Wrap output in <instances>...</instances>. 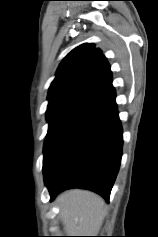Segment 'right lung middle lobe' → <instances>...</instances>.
Here are the masks:
<instances>
[{"instance_id":"1","label":"right lung middle lobe","mask_w":158,"mask_h":237,"mask_svg":"<svg viewBox=\"0 0 158 237\" xmlns=\"http://www.w3.org/2000/svg\"><path fill=\"white\" fill-rule=\"evenodd\" d=\"M79 106L81 105L72 101L49 102L46 115L47 121L49 122L48 135Z\"/></svg>"}]
</instances>
